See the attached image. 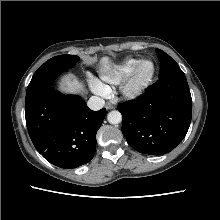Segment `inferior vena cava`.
<instances>
[{"label": "inferior vena cava", "mask_w": 220, "mask_h": 220, "mask_svg": "<svg viewBox=\"0 0 220 220\" xmlns=\"http://www.w3.org/2000/svg\"><path fill=\"white\" fill-rule=\"evenodd\" d=\"M87 105L91 110L96 111V110H100L104 107L105 101L100 97L92 96L88 100Z\"/></svg>", "instance_id": "obj_1"}]
</instances>
